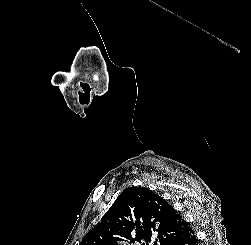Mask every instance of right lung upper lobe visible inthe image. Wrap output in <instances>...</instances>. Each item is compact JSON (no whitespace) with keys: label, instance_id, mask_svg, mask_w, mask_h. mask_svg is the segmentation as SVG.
Segmentation results:
<instances>
[{"label":"right lung upper lobe","instance_id":"1","mask_svg":"<svg viewBox=\"0 0 251 245\" xmlns=\"http://www.w3.org/2000/svg\"><path fill=\"white\" fill-rule=\"evenodd\" d=\"M187 229L188 223L160 195L129 187L79 245H117L123 238L142 245H166Z\"/></svg>","mask_w":251,"mask_h":245}]
</instances>
